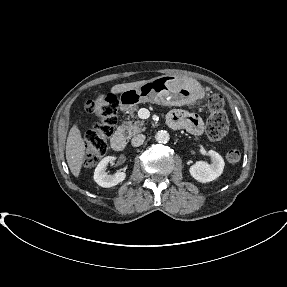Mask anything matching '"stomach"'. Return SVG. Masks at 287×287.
Masks as SVG:
<instances>
[{"label":"stomach","mask_w":287,"mask_h":287,"mask_svg":"<svg viewBox=\"0 0 287 287\" xmlns=\"http://www.w3.org/2000/svg\"><path fill=\"white\" fill-rule=\"evenodd\" d=\"M202 89L192 80L175 75H162L140 86L121 92L119 105L122 111H133L138 104L151 102L165 106H183L195 103Z\"/></svg>","instance_id":"stomach-1"}]
</instances>
